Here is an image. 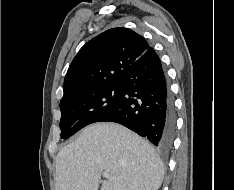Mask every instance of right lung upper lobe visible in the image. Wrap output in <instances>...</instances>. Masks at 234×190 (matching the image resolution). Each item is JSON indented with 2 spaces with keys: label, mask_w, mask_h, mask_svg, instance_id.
<instances>
[{
  "label": "right lung upper lobe",
  "mask_w": 234,
  "mask_h": 190,
  "mask_svg": "<svg viewBox=\"0 0 234 190\" xmlns=\"http://www.w3.org/2000/svg\"><path fill=\"white\" fill-rule=\"evenodd\" d=\"M150 48L127 28L109 29L87 42L73 59L64 79L61 102L82 92L117 84L125 71Z\"/></svg>",
  "instance_id": "1"
}]
</instances>
